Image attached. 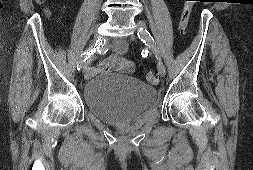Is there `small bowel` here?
I'll use <instances>...</instances> for the list:
<instances>
[{"label":"small bowel","instance_id":"c3829d8e","mask_svg":"<svg viewBox=\"0 0 253 170\" xmlns=\"http://www.w3.org/2000/svg\"><path fill=\"white\" fill-rule=\"evenodd\" d=\"M121 47H124V45L122 44ZM115 57H119L120 59L124 60L126 63L133 65V63L131 61L127 60L126 58H123L121 56H115ZM122 66H123V63L121 61H117L115 64V68H117L119 70L122 69ZM90 72H91V76H92L96 72V70L92 69V70H90Z\"/></svg>","mask_w":253,"mask_h":170}]
</instances>
